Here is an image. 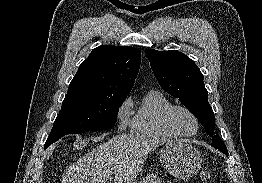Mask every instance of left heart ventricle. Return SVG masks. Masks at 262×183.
<instances>
[{
  "instance_id": "left-heart-ventricle-1",
  "label": "left heart ventricle",
  "mask_w": 262,
  "mask_h": 183,
  "mask_svg": "<svg viewBox=\"0 0 262 183\" xmlns=\"http://www.w3.org/2000/svg\"><path fill=\"white\" fill-rule=\"evenodd\" d=\"M175 126L184 133H192L196 128V123L191 115L183 110H177L173 115Z\"/></svg>"
}]
</instances>
